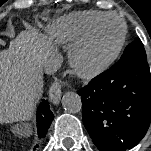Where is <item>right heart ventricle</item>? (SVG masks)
<instances>
[{"mask_svg":"<svg viewBox=\"0 0 151 151\" xmlns=\"http://www.w3.org/2000/svg\"><path fill=\"white\" fill-rule=\"evenodd\" d=\"M105 14L106 12L97 10H88L71 14L62 19L60 30L75 39H81L94 22Z\"/></svg>","mask_w":151,"mask_h":151,"instance_id":"e07e8e85","label":"right heart ventricle"}]
</instances>
